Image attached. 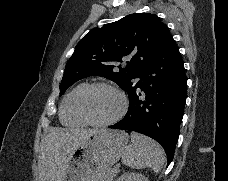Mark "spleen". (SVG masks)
I'll list each match as a JSON object with an SVG mask.
<instances>
[{
  "label": "spleen",
  "mask_w": 228,
  "mask_h": 181,
  "mask_svg": "<svg viewBox=\"0 0 228 181\" xmlns=\"http://www.w3.org/2000/svg\"><path fill=\"white\" fill-rule=\"evenodd\" d=\"M122 163L131 169H146L159 173L164 165V151L156 141L131 133V145L122 153Z\"/></svg>",
  "instance_id": "obj_1"
}]
</instances>
